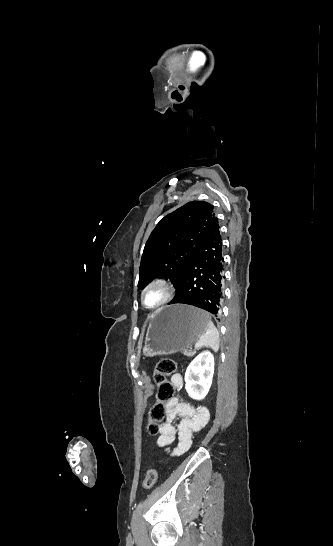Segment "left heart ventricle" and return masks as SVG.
Wrapping results in <instances>:
<instances>
[{
    "mask_svg": "<svg viewBox=\"0 0 333 546\" xmlns=\"http://www.w3.org/2000/svg\"><path fill=\"white\" fill-rule=\"evenodd\" d=\"M164 290L160 287H152L146 293V302L149 306L157 305L164 298Z\"/></svg>",
    "mask_w": 333,
    "mask_h": 546,
    "instance_id": "obj_1",
    "label": "left heart ventricle"
}]
</instances>
